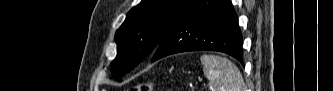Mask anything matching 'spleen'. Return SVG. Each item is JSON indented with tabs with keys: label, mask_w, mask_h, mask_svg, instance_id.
Wrapping results in <instances>:
<instances>
[{
	"label": "spleen",
	"mask_w": 333,
	"mask_h": 91,
	"mask_svg": "<svg viewBox=\"0 0 333 91\" xmlns=\"http://www.w3.org/2000/svg\"><path fill=\"white\" fill-rule=\"evenodd\" d=\"M200 60L204 75L213 85L214 91H245L242 74L229 59L203 54Z\"/></svg>",
	"instance_id": "obj_1"
}]
</instances>
